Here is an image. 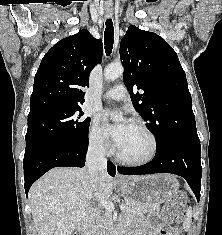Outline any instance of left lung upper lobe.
Masks as SVG:
<instances>
[{
  "label": "left lung upper lobe",
  "instance_id": "1",
  "mask_svg": "<svg viewBox=\"0 0 222 235\" xmlns=\"http://www.w3.org/2000/svg\"><path fill=\"white\" fill-rule=\"evenodd\" d=\"M123 80L156 148L177 139L200 142L185 72L160 36L131 25L120 45ZM141 90L133 94V88Z\"/></svg>",
  "mask_w": 222,
  "mask_h": 235
}]
</instances>
